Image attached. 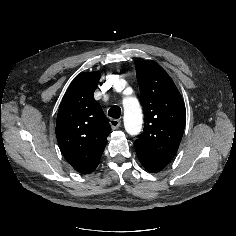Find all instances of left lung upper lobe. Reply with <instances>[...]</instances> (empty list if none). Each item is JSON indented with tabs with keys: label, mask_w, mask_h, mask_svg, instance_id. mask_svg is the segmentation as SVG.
I'll return each mask as SVG.
<instances>
[{
	"label": "left lung upper lobe",
	"mask_w": 236,
	"mask_h": 236,
	"mask_svg": "<svg viewBox=\"0 0 236 236\" xmlns=\"http://www.w3.org/2000/svg\"><path fill=\"white\" fill-rule=\"evenodd\" d=\"M136 74L144 105V132L134 142L136 152L170 162L181 142L186 109L166 71L156 62L138 63Z\"/></svg>",
	"instance_id": "obj_1"
}]
</instances>
